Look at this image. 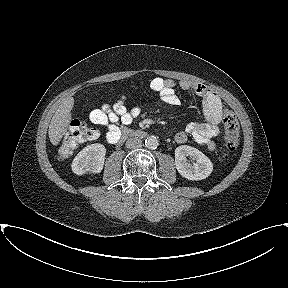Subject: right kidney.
Segmentation results:
<instances>
[{"mask_svg":"<svg viewBox=\"0 0 288 288\" xmlns=\"http://www.w3.org/2000/svg\"><path fill=\"white\" fill-rule=\"evenodd\" d=\"M106 148L100 143L88 145L72 162V171L77 175L100 173L104 166Z\"/></svg>","mask_w":288,"mask_h":288,"instance_id":"ca27d5eb","label":"right kidney"}]
</instances>
